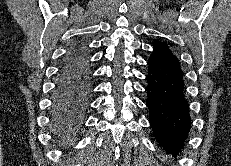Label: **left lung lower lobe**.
<instances>
[{
  "mask_svg": "<svg viewBox=\"0 0 231 166\" xmlns=\"http://www.w3.org/2000/svg\"><path fill=\"white\" fill-rule=\"evenodd\" d=\"M147 64L149 122L159 145L177 155L191 128L183 71L167 43L160 40L154 41Z\"/></svg>",
  "mask_w": 231,
  "mask_h": 166,
  "instance_id": "left-lung-lower-lobe-1",
  "label": "left lung lower lobe"
}]
</instances>
